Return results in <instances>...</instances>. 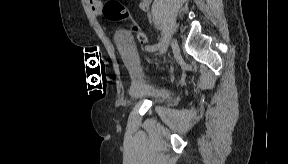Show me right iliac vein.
I'll use <instances>...</instances> for the list:
<instances>
[{
    "instance_id": "1",
    "label": "right iliac vein",
    "mask_w": 288,
    "mask_h": 164,
    "mask_svg": "<svg viewBox=\"0 0 288 164\" xmlns=\"http://www.w3.org/2000/svg\"><path fill=\"white\" fill-rule=\"evenodd\" d=\"M168 43H169V40L167 39V37H165V38L163 39V42H162V45H161V48H160L158 54H162V53L165 52V50H166L167 47H168Z\"/></svg>"
}]
</instances>
